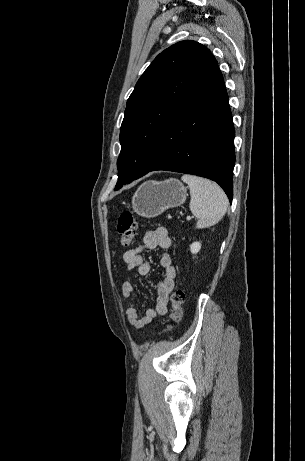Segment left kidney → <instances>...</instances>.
<instances>
[{
    "label": "left kidney",
    "instance_id": "1",
    "mask_svg": "<svg viewBox=\"0 0 305 461\" xmlns=\"http://www.w3.org/2000/svg\"><path fill=\"white\" fill-rule=\"evenodd\" d=\"M201 249V243L200 242H194L190 246V250L192 254H197Z\"/></svg>",
    "mask_w": 305,
    "mask_h": 461
}]
</instances>
